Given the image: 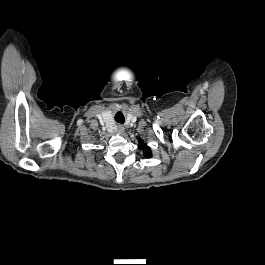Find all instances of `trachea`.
I'll use <instances>...</instances> for the list:
<instances>
[{
    "mask_svg": "<svg viewBox=\"0 0 265 265\" xmlns=\"http://www.w3.org/2000/svg\"><path fill=\"white\" fill-rule=\"evenodd\" d=\"M115 120H116V122H119V123H121V124H123L124 123V121H125V118H124V116L122 115V113H117L116 115H115Z\"/></svg>",
    "mask_w": 265,
    "mask_h": 265,
    "instance_id": "trachea-1",
    "label": "trachea"
}]
</instances>
